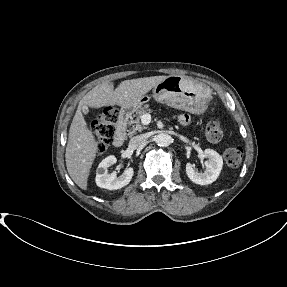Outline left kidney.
Masks as SVG:
<instances>
[{
  "instance_id": "5707ae66",
  "label": "left kidney",
  "mask_w": 287,
  "mask_h": 287,
  "mask_svg": "<svg viewBox=\"0 0 287 287\" xmlns=\"http://www.w3.org/2000/svg\"><path fill=\"white\" fill-rule=\"evenodd\" d=\"M205 156L208 158L205 161V171L204 173H199L194 170L191 163L186 164V174L189 179L199 185H208L213 183L219 176L222 166V157L212 149H205Z\"/></svg>"
}]
</instances>
